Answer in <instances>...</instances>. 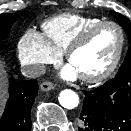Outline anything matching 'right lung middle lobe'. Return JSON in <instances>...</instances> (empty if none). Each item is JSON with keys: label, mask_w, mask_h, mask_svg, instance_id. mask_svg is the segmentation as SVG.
<instances>
[{"label": "right lung middle lobe", "mask_w": 131, "mask_h": 131, "mask_svg": "<svg viewBox=\"0 0 131 131\" xmlns=\"http://www.w3.org/2000/svg\"><path fill=\"white\" fill-rule=\"evenodd\" d=\"M21 15L22 12L0 14V40L7 38L11 26L21 17Z\"/></svg>", "instance_id": "obj_1"}]
</instances>
